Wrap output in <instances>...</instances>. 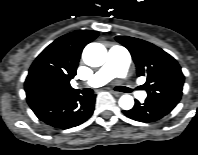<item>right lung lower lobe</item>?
Listing matches in <instances>:
<instances>
[{"label": "right lung lower lobe", "mask_w": 198, "mask_h": 155, "mask_svg": "<svg viewBox=\"0 0 198 155\" xmlns=\"http://www.w3.org/2000/svg\"><path fill=\"white\" fill-rule=\"evenodd\" d=\"M94 104L95 95L83 97L77 92L36 104L31 109L48 125L67 129L88 120L93 113Z\"/></svg>", "instance_id": "98d812e1"}]
</instances>
